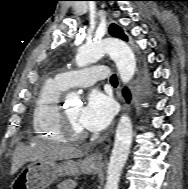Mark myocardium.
<instances>
[{
  "mask_svg": "<svg viewBox=\"0 0 188 189\" xmlns=\"http://www.w3.org/2000/svg\"><path fill=\"white\" fill-rule=\"evenodd\" d=\"M62 133L66 139L77 141L87 137V133L84 130H76L68 117L65 109H61L59 117Z\"/></svg>",
  "mask_w": 188,
  "mask_h": 189,
  "instance_id": "1",
  "label": "myocardium"
}]
</instances>
